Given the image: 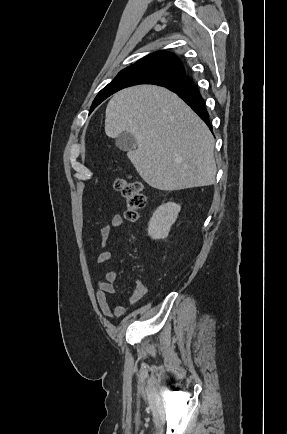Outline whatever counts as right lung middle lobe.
I'll use <instances>...</instances> for the list:
<instances>
[{
	"instance_id": "obj_1",
	"label": "right lung middle lobe",
	"mask_w": 287,
	"mask_h": 434,
	"mask_svg": "<svg viewBox=\"0 0 287 434\" xmlns=\"http://www.w3.org/2000/svg\"><path fill=\"white\" fill-rule=\"evenodd\" d=\"M176 79H178V76L173 73L153 68H139L130 71L119 72L114 80H112V82H110L98 93L92 103L90 112H92V110L107 97L128 86L136 84H156L158 82Z\"/></svg>"
}]
</instances>
